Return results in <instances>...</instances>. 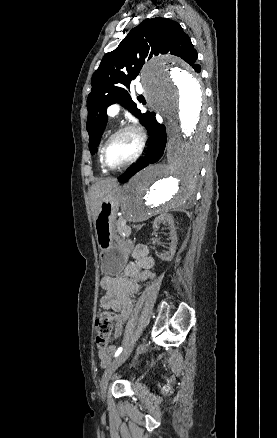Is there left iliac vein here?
I'll return each mask as SVG.
<instances>
[{
    "mask_svg": "<svg viewBox=\"0 0 277 438\" xmlns=\"http://www.w3.org/2000/svg\"><path fill=\"white\" fill-rule=\"evenodd\" d=\"M133 346L127 347L105 370L100 381V396L102 400L106 397L108 382L115 370L122 365L132 352Z\"/></svg>",
    "mask_w": 277,
    "mask_h": 438,
    "instance_id": "1",
    "label": "left iliac vein"
}]
</instances>
